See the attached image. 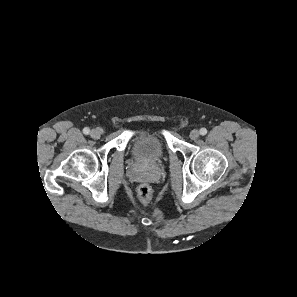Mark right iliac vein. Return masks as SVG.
<instances>
[{
    "instance_id": "1",
    "label": "right iliac vein",
    "mask_w": 297,
    "mask_h": 297,
    "mask_svg": "<svg viewBox=\"0 0 297 297\" xmlns=\"http://www.w3.org/2000/svg\"><path fill=\"white\" fill-rule=\"evenodd\" d=\"M90 136L93 139H99L101 136V130L100 129H92L90 132Z\"/></svg>"
}]
</instances>
